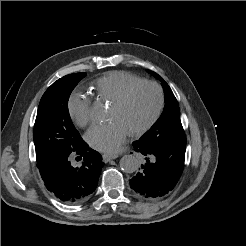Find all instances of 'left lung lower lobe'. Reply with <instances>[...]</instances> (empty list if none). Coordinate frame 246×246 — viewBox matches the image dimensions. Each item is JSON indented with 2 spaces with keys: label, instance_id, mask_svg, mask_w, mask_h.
Listing matches in <instances>:
<instances>
[{
  "label": "left lung lower lobe",
  "instance_id": "0a47b994",
  "mask_svg": "<svg viewBox=\"0 0 246 246\" xmlns=\"http://www.w3.org/2000/svg\"><path fill=\"white\" fill-rule=\"evenodd\" d=\"M145 159L140 172L130 180L138 196L152 200L167 195L177 184L183 168L186 145L133 142Z\"/></svg>",
  "mask_w": 246,
  "mask_h": 246
}]
</instances>
